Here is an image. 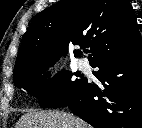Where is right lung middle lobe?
<instances>
[{
  "label": "right lung middle lobe",
  "instance_id": "dd1d6c3e",
  "mask_svg": "<svg viewBox=\"0 0 142 128\" xmlns=\"http://www.w3.org/2000/svg\"><path fill=\"white\" fill-rule=\"evenodd\" d=\"M54 62L44 60L19 68L13 73L14 84L25 89L36 97L48 94L40 99V105L46 108L65 107L73 96L80 90L86 78L79 73L61 71L52 80H47L49 72H45ZM45 72V73H44ZM42 73H44L42 75ZM76 77H73V76Z\"/></svg>",
  "mask_w": 142,
  "mask_h": 128
}]
</instances>
